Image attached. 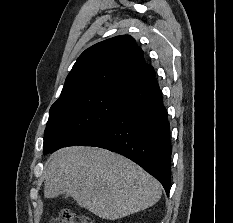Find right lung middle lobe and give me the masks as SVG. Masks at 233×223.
<instances>
[{"label": "right lung middle lobe", "mask_w": 233, "mask_h": 223, "mask_svg": "<svg viewBox=\"0 0 233 223\" xmlns=\"http://www.w3.org/2000/svg\"><path fill=\"white\" fill-rule=\"evenodd\" d=\"M122 90L100 89L60 97L50 108L44 152L78 145L122 109Z\"/></svg>", "instance_id": "obj_1"}]
</instances>
